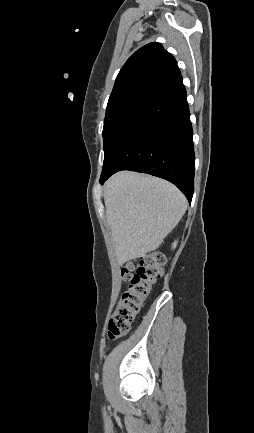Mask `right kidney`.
<instances>
[{
	"label": "right kidney",
	"instance_id": "right-kidney-1",
	"mask_svg": "<svg viewBox=\"0 0 254 433\" xmlns=\"http://www.w3.org/2000/svg\"><path fill=\"white\" fill-rule=\"evenodd\" d=\"M176 245H177V242L175 241V242L173 243L172 247L175 248Z\"/></svg>",
	"mask_w": 254,
	"mask_h": 433
}]
</instances>
